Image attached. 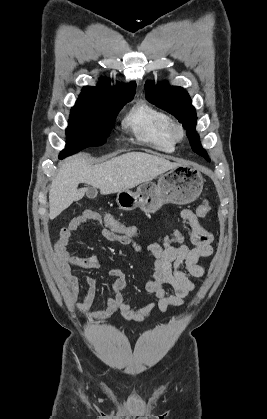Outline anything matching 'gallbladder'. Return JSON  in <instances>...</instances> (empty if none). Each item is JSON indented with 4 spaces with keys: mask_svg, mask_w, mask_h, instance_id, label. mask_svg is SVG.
<instances>
[{
    "mask_svg": "<svg viewBox=\"0 0 267 419\" xmlns=\"http://www.w3.org/2000/svg\"><path fill=\"white\" fill-rule=\"evenodd\" d=\"M97 193H98L97 192V189L94 188V187H91V188H87L86 189V195L90 199H94L97 196Z\"/></svg>",
    "mask_w": 267,
    "mask_h": 419,
    "instance_id": "bac80fb5",
    "label": "gallbladder"
}]
</instances>
